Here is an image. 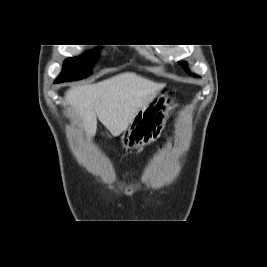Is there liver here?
<instances>
[{
  "label": "liver",
  "instance_id": "liver-1",
  "mask_svg": "<svg viewBox=\"0 0 267 267\" xmlns=\"http://www.w3.org/2000/svg\"><path fill=\"white\" fill-rule=\"evenodd\" d=\"M164 87L163 83L125 72L95 84L73 87L66 92L65 100L82 119L88 137L96 134L97 118L113 136H118Z\"/></svg>",
  "mask_w": 267,
  "mask_h": 267
}]
</instances>
